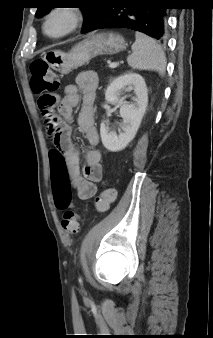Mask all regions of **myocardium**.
<instances>
[{
  "instance_id": "1",
  "label": "myocardium",
  "mask_w": 213,
  "mask_h": 338,
  "mask_svg": "<svg viewBox=\"0 0 213 338\" xmlns=\"http://www.w3.org/2000/svg\"><path fill=\"white\" fill-rule=\"evenodd\" d=\"M58 14H64L67 17L68 24L64 30L58 33H53L50 30L51 19ZM83 20H84V15L78 9L66 8V7L55 8L51 10L44 18L43 27H42L43 33L49 39H60L76 31L82 24Z\"/></svg>"
}]
</instances>
